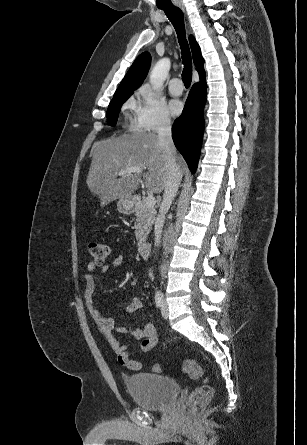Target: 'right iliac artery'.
Wrapping results in <instances>:
<instances>
[{
	"instance_id": "right-iliac-artery-1",
	"label": "right iliac artery",
	"mask_w": 307,
	"mask_h": 445,
	"mask_svg": "<svg viewBox=\"0 0 307 445\" xmlns=\"http://www.w3.org/2000/svg\"><path fill=\"white\" fill-rule=\"evenodd\" d=\"M155 303H156V306H157L158 308H160V307L162 306V303H163V295H162V293L159 292V291L155 294Z\"/></svg>"
}]
</instances>
